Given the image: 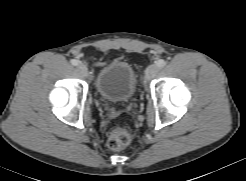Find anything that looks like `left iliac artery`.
<instances>
[{
	"instance_id": "obj_1",
	"label": "left iliac artery",
	"mask_w": 246,
	"mask_h": 181,
	"mask_svg": "<svg viewBox=\"0 0 246 181\" xmlns=\"http://www.w3.org/2000/svg\"><path fill=\"white\" fill-rule=\"evenodd\" d=\"M156 64L158 67L162 68L165 66L166 62L163 59H159L158 61H156Z\"/></svg>"
}]
</instances>
